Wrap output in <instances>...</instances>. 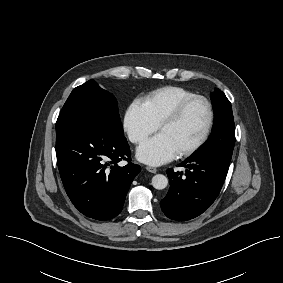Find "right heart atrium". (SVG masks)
I'll list each match as a JSON object with an SVG mask.
<instances>
[{
    "mask_svg": "<svg viewBox=\"0 0 283 283\" xmlns=\"http://www.w3.org/2000/svg\"><path fill=\"white\" fill-rule=\"evenodd\" d=\"M123 125L129 140L134 144L142 143L159 127L147 112L144 103L139 99L133 100L128 105Z\"/></svg>",
    "mask_w": 283,
    "mask_h": 283,
    "instance_id": "obj_1",
    "label": "right heart atrium"
}]
</instances>
